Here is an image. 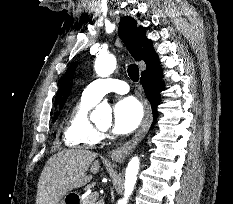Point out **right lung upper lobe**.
<instances>
[{
  "mask_svg": "<svg viewBox=\"0 0 233 204\" xmlns=\"http://www.w3.org/2000/svg\"><path fill=\"white\" fill-rule=\"evenodd\" d=\"M118 33L134 59L137 61H145L147 69L144 72L159 65L158 56L154 51L152 42L147 39L142 26L137 28V23L133 18L128 16L123 17L119 23ZM76 65L77 63H73L67 69L57 92V98L55 100L56 105L71 79Z\"/></svg>",
  "mask_w": 233,
  "mask_h": 204,
  "instance_id": "obj_1",
  "label": "right lung upper lobe"
}]
</instances>
